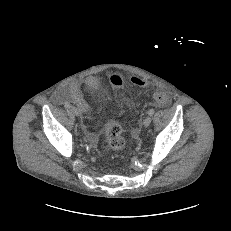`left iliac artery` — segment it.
<instances>
[{
    "label": "left iliac artery",
    "instance_id": "left-iliac-artery-1",
    "mask_svg": "<svg viewBox=\"0 0 231 231\" xmlns=\"http://www.w3.org/2000/svg\"><path fill=\"white\" fill-rule=\"evenodd\" d=\"M154 112H155V110L152 108V109H150V110L148 111V114H149L150 116H152V115L154 114Z\"/></svg>",
    "mask_w": 231,
    "mask_h": 231
}]
</instances>
